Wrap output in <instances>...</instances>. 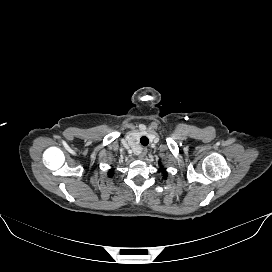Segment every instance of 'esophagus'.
Returning <instances> with one entry per match:
<instances>
[{
  "label": "esophagus",
  "mask_w": 272,
  "mask_h": 272,
  "mask_svg": "<svg viewBox=\"0 0 272 272\" xmlns=\"http://www.w3.org/2000/svg\"><path fill=\"white\" fill-rule=\"evenodd\" d=\"M147 153V149L146 148H141V150L137 153L138 157L140 159H142Z\"/></svg>",
  "instance_id": "1"
}]
</instances>
